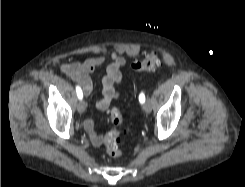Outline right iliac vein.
<instances>
[{
    "label": "right iliac vein",
    "mask_w": 245,
    "mask_h": 187,
    "mask_svg": "<svg viewBox=\"0 0 245 187\" xmlns=\"http://www.w3.org/2000/svg\"><path fill=\"white\" fill-rule=\"evenodd\" d=\"M77 110L79 113H84L86 110V102L84 100L79 101L77 105Z\"/></svg>",
    "instance_id": "obj_1"
}]
</instances>
